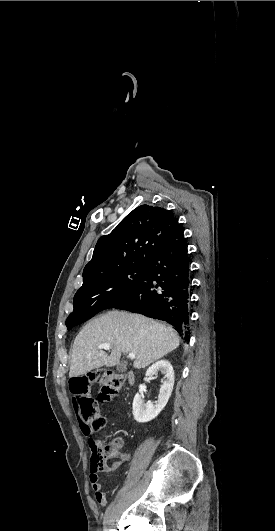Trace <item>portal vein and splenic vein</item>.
<instances>
[{"label":"portal vein and splenic vein","mask_w":275,"mask_h":531,"mask_svg":"<svg viewBox=\"0 0 275 531\" xmlns=\"http://www.w3.org/2000/svg\"><path fill=\"white\" fill-rule=\"evenodd\" d=\"M98 349H105V351H109V349H111L110 343H103V345H99ZM128 357L129 359H136L135 353H129Z\"/></svg>","instance_id":"18ae733b"}]
</instances>
